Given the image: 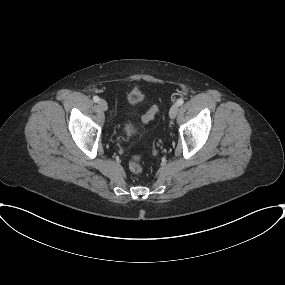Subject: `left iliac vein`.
<instances>
[{
    "instance_id": "obj_1",
    "label": "left iliac vein",
    "mask_w": 285,
    "mask_h": 285,
    "mask_svg": "<svg viewBox=\"0 0 285 285\" xmlns=\"http://www.w3.org/2000/svg\"><path fill=\"white\" fill-rule=\"evenodd\" d=\"M178 105L177 104H174V105H172V107L170 108V110H169V117L171 118V119H174L175 117H176V115H177V112H178Z\"/></svg>"
}]
</instances>
